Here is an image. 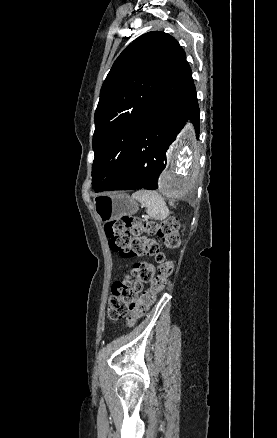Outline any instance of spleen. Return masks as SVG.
Returning a JSON list of instances; mask_svg holds the SVG:
<instances>
[{
	"mask_svg": "<svg viewBox=\"0 0 277 438\" xmlns=\"http://www.w3.org/2000/svg\"><path fill=\"white\" fill-rule=\"evenodd\" d=\"M133 200H137L140 204H144L151 218L155 220H166L170 212L164 202V198L158 192H150V190H139L132 194Z\"/></svg>",
	"mask_w": 277,
	"mask_h": 438,
	"instance_id": "spleen-1",
	"label": "spleen"
}]
</instances>
